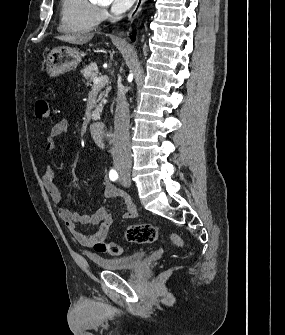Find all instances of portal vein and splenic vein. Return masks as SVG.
<instances>
[{
	"label": "portal vein and splenic vein",
	"mask_w": 285,
	"mask_h": 335,
	"mask_svg": "<svg viewBox=\"0 0 285 335\" xmlns=\"http://www.w3.org/2000/svg\"><path fill=\"white\" fill-rule=\"evenodd\" d=\"M93 82L94 84H106L107 78H105V76H102V78H97V76H95V78H93Z\"/></svg>",
	"instance_id": "18ae733b"
}]
</instances>
